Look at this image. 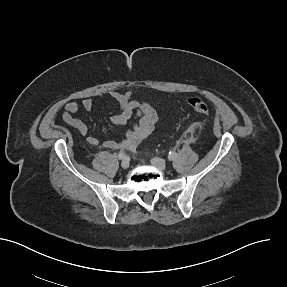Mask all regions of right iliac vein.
<instances>
[{
  "mask_svg": "<svg viewBox=\"0 0 287 287\" xmlns=\"http://www.w3.org/2000/svg\"><path fill=\"white\" fill-rule=\"evenodd\" d=\"M129 166H130V163H129L128 159H123L121 162V167L123 169H127V168H129Z\"/></svg>",
  "mask_w": 287,
  "mask_h": 287,
  "instance_id": "right-iliac-vein-1",
  "label": "right iliac vein"
}]
</instances>
